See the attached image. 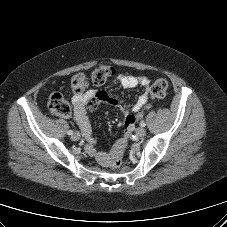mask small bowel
<instances>
[{"mask_svg":"<svg viewBox=\"0 0 227 227\" xmlns=\"http://www.w3.org/2000/svg\"><path fill=\"white\" fill-rule=\"evenodd\" d=\"M114 83L121 85L123 88H134L140 86L144 89L143 94L138 97L136 102L129 110L122 109V124L125 127L126 118L128 116L135 115V113L139 112L149 102L151 79L145 75H130L120 73L115 77ZM101 102H108L114 105L118 104L117 100L109 97L104 92H99L96 94H94L92 91L76 93L72 97V103L74 106L73 119L86 140L87 152L94 156L101 165L107 166L109 165L111 159L118 152H123L125 149L128 142V133L131 131L133 125L128 128L125 127V135L114 144L110 151L97 150L96 143L92 136L90 121L86 115V106L88 109H94Z\"/></svg>","mask_w":227,"mask_h":227,"instance_id":"1","label":"small bowel"}]
</instances>
